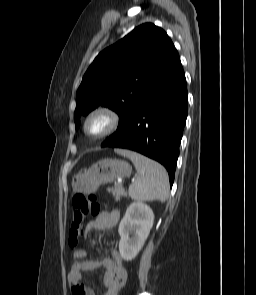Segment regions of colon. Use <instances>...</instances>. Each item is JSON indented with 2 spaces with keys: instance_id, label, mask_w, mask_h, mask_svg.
<instances>
[{
  "instance_id": "1",
  "label": "colon",
  "mask_w": 256,
  "mask_h": 295,
  "mask_svg": "<svg viewBox=\"0 0 256 295\" xmlns=\"http://www.w3.org/2000/svg\"><path fill=\"white\" fill-rule=\"evenodd\" d=\"M100 205L94 194H76L72 198V216L69 225V245L75 249L83 234L86 220L99 213Z\"/></svg>"
}]
</instances>
